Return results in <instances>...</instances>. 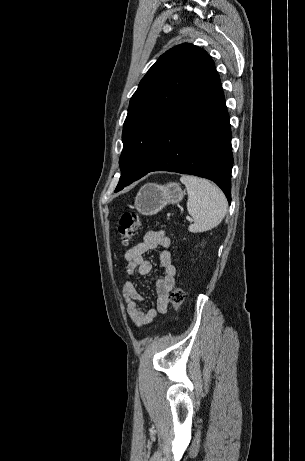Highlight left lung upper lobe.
Listing matches in <instances>:
<instances>
[{
	"label": "left lung upper lobe",
	"mask_w": 305,
	"mask_h": 461,
	"mask_svg": "<svg viewBox=\"0 0 305 461\" xmlns=\"http://www.w3.org/2000/svg\"><path fill=\"white\" fill-rule=\"evenodd\" d=\"M213 65L206 51L184 43L166 51L148 70L130 100L124 122L121 177L115 192L148 171L163 127Z\"/></svg>",
	"instance_id": "1"
}]
</instances>
